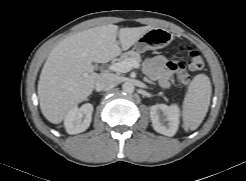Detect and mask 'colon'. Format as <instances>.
<instances>
[{
	"instance_id": "5ec220e1",
	"label": "colon",
	"mask_w": 246,
	"mask_h": 181,
	"mask_svg": "<svg viewBox=\"0 0 246 181\" xmlns=\"http://www.w3.org/2000/svg\"><path fill=\"white\" fill-rule=\"evenodd\" d=\"M178 50L180 52L186 53L187 63L190 69L194 71H202L204 69V61L199 51L195 50L187 44L178 45ZM191 77L182 69L178 74V81L182 85H188L190 83Z\"/></svg>"
}]
</instances>
